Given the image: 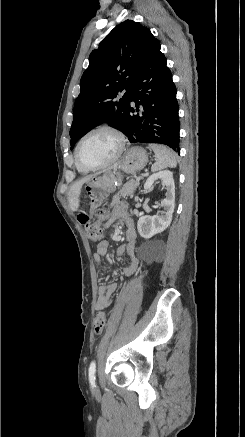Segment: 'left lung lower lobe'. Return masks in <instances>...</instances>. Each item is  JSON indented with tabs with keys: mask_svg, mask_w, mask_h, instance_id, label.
Returning <instances> with one entry per match:
<instances>
[{
	"mask_svg": "<svg viewBox=\"0 0 245 437\" xmlns=\"http://www.w3.org/2000/svg\"><path fill=\"white\" fill-rule=\"evenodd\" d=\"M160 48H153L130 90V103L137 108L130 106L124 134L131 143L164 144L180 153L177 91ZM140 105L142 114H135Z\"/></svg>",
	"mask_w": 245,
	"mask_h": 437,
	"instance_id": "1",
	"label": "left lung lower lobe"
}]
</instances>
